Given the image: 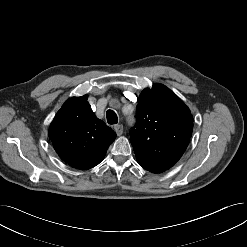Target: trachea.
Here are the masks:
<instances>
[{
	"mask_svg": "<svg viewBox=\"0 0 247 247\" xmlns=\"http://www.w3.org/2000/svg\"><path fill=\"white\" fill-rule=\"evenodd\" d=\"M106 116H107V122L109 124H117L118 123V117L113 110H108L106 112Z\"/></svg>",
	"mask_w": 247,
	"mask_h": 247,
	"instance_id": "obj_1",
	"label": "trachea"
}]
</instances>
